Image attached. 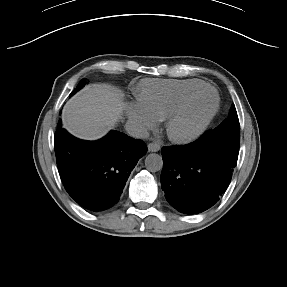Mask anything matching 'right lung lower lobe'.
<instances>
[{
	"mask_svg": "<svg viewBox=\"0 0 287 287\" xmlns=\"http://www.w3.org/2000/svg\"><path fill=\"white\" fill-rule=\"evenodd\" d=\"M146 144L121 132L111 131L97 141H83L59 128L55 154L61 180L68 194L82 207L106 210L122 193Z\"/></svg>",
	"mask_w": 287,
	"mask_h": 287,
	"instance_id": "98d812e1",
	"label": "right lung lower lobe"
}]
</instances>
